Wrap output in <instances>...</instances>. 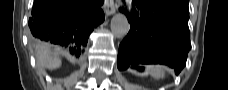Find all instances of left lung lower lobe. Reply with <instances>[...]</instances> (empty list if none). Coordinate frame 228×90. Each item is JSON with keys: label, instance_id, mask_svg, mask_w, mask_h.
Here are the masks:
<instances>
[{"label": "left lung lower lobe", "instance_id": "obj_1", "mask_svg": "<svg viewBox=\"0 0 228 90\" xmlns=\"http://www.w3.org/2000/svg\"><path fill=\"white\" fill-rule=\"evenodd\" d=\"M138 12L127 13L131 30L119 47L117 67L160 63L179 72L191 49L189 11L182 0H133Z\"/></svg>", "mask_w": 228, "mask_h": 90}]
</instances>
